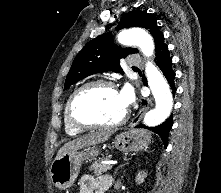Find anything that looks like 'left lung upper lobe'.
I'll return each mask as SVG.
<instances>
[{
    "mask_svg": "<svg viewBox=\"0 0 221 193\" xmlns=\"http://www.w3.org/2000/svg\"><path fill=\"white\" fill-rule=\"evenodd\" d=\"M124 27H143L152 34L156 48L164 41V35L159 31L155 18L146 11L135 10L122 16L117 30ZM135 48L117 47L111 33L102 34L89 43L75 57L67 75L64 90L83 78L100 72H122L120 59L129 54L137 53Z\"/></svg>",
    "mask_w": 221,
    "mask_h": 193,
    "instance_id": "1",
    "label": "left lung upper lobe"
}]
</instances>
